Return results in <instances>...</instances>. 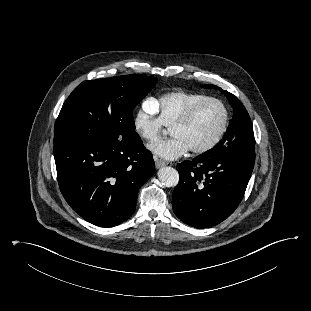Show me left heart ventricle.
Returning a JSON list of instances; mask_svg holds the SVG:
<instances>
[{"mask_svg": "<svg viewBox=\"0 0 311 311\" xmlns=\"http://www.w3.org/2000/svg\"><path fill=\"white\" fill-rule=\"evenodd\" d=\"M223 121V109L215 102L203 105L192 121L185 126L170 129L172 136L181 137L192 148H199L209 143L219 131Z\"/></svg>", "mask_w": 311, "mask_h": 311, "instance_id": "left-heart-ventricle-1", "label": "left heart ventricle"}]
</instances>
